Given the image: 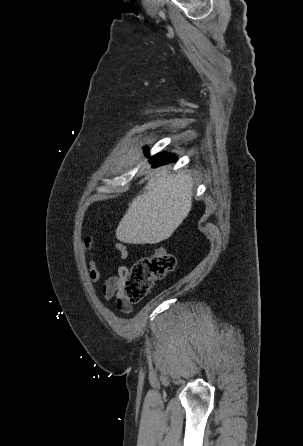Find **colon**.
<instances>
[{
    "label": "colon",
    "instance_id": "colon-1",
    "mask_svg": "<svg viewBox=\"0 0 303 446\" xmlns=\"http://www.w3.org/2000/svg\"><path fill=\"white\" fill-rule=\"evenodd\" d=\"M175 268V258L165 249H156L132 264L125 282V300L135 304L144 299L152 285Z\"/></svg>",
    "mask_w": 303,
    "mask_h": 446
}]
</instances>
